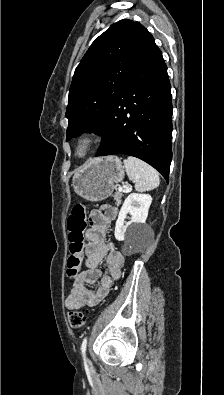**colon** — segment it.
<instances>
[{
	"mask_svg": "<svg viewBox=\"0 0 224 395\" xmlns=\"http://www.w3.org/2000/svg\"><path fill=\"white\" fill-rule=\"evenodd\" d=\"M86 229V207L77 204L73 207L68 220V240L71 255L67 260V276L74 278L78 275L81 266V256L84 249V231ZM88 316L80 310H73L68 315V321L72 328L80 329L87 322Z\"/></svg>",
	"mask_w": 224,
	"mask_h": 395,
	"instance_id": "1",
	"label": "colon"
}]
</instances>
